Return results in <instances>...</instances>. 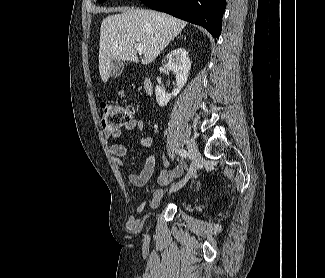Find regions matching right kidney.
<instances>
[{"mask_svg": "<svg viewBox=\"0 0 325 278\" xmlns=\"http://www.w3.org/2000/svg\"><path fill=\"white\" fill-rule=\"evenodd\" d=\"M164 66L175 73L177 87L171 94H168L160 86H156V101L161 107L166 106L172 97H176L187 82L191 69V61L188 52L182 47L172 50L166 55Z\"/></svg>", "mask_w": 325, "mask_h": 278, "instance_id": "ca27d5eb", "label": "right kidney"}]
</instances>
